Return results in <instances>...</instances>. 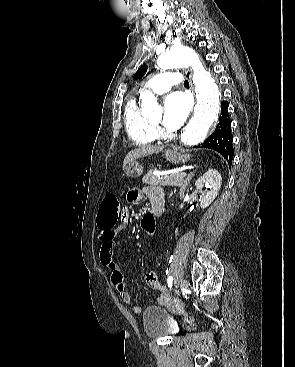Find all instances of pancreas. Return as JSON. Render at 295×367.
<instances>
[{
    "instance_id": "obj_1",
    "label": "pancreas",
    "mask_w": 295,
    "mask_h": 367,
    "mask_svg": "<svg viewBox=\"0 0 295 367\" xmlns=\"http://www.w3.org/2000/svg\"><path fill=\"white\" fill-rule=\"evenodd\" d=\"M186 179L184 180V177L179 176L178 174H168V175H162V176H158V175H153L151 173L146 174L143 178H142V182L148 185H152V186H177V185H182L183 183H185Z\"/></svg>"
}]
</instances>
